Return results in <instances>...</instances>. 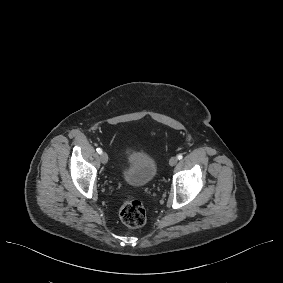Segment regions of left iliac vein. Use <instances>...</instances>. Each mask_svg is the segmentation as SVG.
Here are the masks:
<instances>
[{
    "label": "left iliac vein",
    "instance_id": "1",
    "mask_svg": "<svg viewBox=\"0 0 283 283\" xmlns=\"http://www.w3.org/2000/svg\"><path fill=\"white\" fill-rule=\"evenodd\" d=\"M177 161H178V158L175 157V156H173V157H171L170 160H169V165H170V166H174V165H176Z\"/></svg>",
    "mask_w": 283,
    "mask_h": 283
}]
</instances>
